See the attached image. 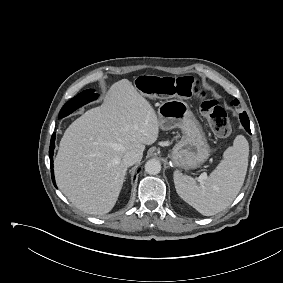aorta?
Instances as JSON below:
<instances>
[{
  "instance_id": "762f6f07",
  "label": "aorta",
  "mask_w": 283,
  "mask_h": 283,
  "mask_svg": "<svg viewBox=\"0 0 283 283\" xmlns=\"http://www.w3.org/2000/svg\"><path fill=\"white\" fill-rule=\"evenodd\" d=\"M145 171L150 175H156L161 171V164L156 159H150L145 164Z\"/></svg>"
}]
</instances>
